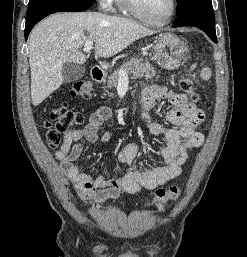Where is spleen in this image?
I'll use <instances>...</instances> for the list:
<instances>
[{
  "mask_svg": "<svg viewBox=\"0 0 247 257\" xmlns=\"http://www.w3.org/2000/svg\"><path fill=\"white\" fill-rule=\"evenodd\" d=\"M211 76V70L209 68H205L201 72V77L204 80H208Z\"/></svg>",
  "mask_w": 247,
  "mask_h": 257,
  "instance_id": "spleen-1",
  "label": "spleen"
}]
</instances>
